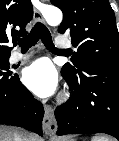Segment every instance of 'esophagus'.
<instances>
[{"mask_svg":"<svg viewBox=\"0 0 119 141\" xmlns=\"http://www.w3.org/2000/svg\"><path fill=\"white\" fill-rule=\"evenodd\" d=\"M34 19L39 22H44L43 16L37 8L34 9ZM42 126L44 132L49 135L54 134L57 130V122L54 117L53 108L48 104L44 106V118Z\"/></svg>","mask_w":119,"mask_h":141,"instance_id":"obj_1","label":"esophagus"}]
</instances>
